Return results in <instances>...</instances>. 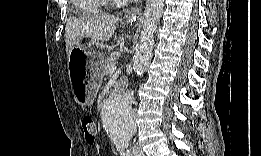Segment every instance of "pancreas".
Segmentation results:
<instances>
[{
	"label": "pancreas",
	"instance_id": "cf45deb5",
	"mask_svg": "<svg viewBox=\"0 0 261 156\" xmlns=\"http://www.w3.org/2000/svg\"><path fill=\"white\" fill-rule=\"evenodd\" d=\"M117 64V56L112 53L107 57L102 65V75H107L110 72V67Z\"/></svg>",
	"mask_w": 261,
	"mask_h": 156
}]
</instances>
